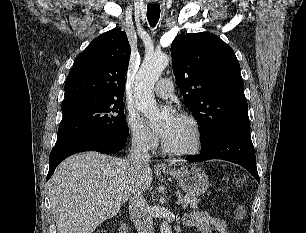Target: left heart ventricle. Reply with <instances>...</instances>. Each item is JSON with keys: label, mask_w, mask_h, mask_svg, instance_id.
Segmentation results:
<instances>
[{"label": "left heart ventricle", "mask_w": 306, "mask_h": 233, "mask_svg": "<svg viewBox=\"0 0 306 233\" xmlns=\"http://www.w3.org/2000/svg\"><path fill=\"white\" fill-rule=\"evenodd\" d=\"M170 120H167L162 129H164ZM168 147L174 150H187L193 147L195 142V134L192 126L184 119L177 118L175 124L171 128L168 136L164 139Z\"/></svg>", "instance_id": "obj_1"}]
</instances>
